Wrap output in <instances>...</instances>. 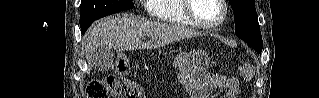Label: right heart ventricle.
I'll list each match as a JSON object with an SVG mask.
<instances>
[{"mask_svg":"<svg viewBox=\"0 0 319 98\" xmlns=\"http://www.w3.org/2000/svg\"><path fill=\"white\" fill-rule=\"evenodd\" d=\"M150 15L160 21L195 26L186 16L183 0H147Z\"/></svg>","mask_w":319,"mask_h":98,"instance_id":"obj_1","label":"right heart ventricle"}]
</instances>
